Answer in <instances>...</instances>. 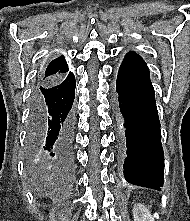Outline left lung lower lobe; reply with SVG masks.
<instances>
[{
    "instance_id": "obj_1",
    "label": "left lung lower lobe",
    "mask_w": 190,
    "mask_h": 221,
    "mask_svg": "<svg viewBox=\"0 0 190 221\" xmlns=\"http://www.w3.org/2000/svg\"><path fill=\"white\" fill-rule=\"evenodd\" d=\"M116 91L125 117V179L133 185L160 190L164 171L160 122L149 70L141 57L125 56Z\"/></svg>"
}]
</instances>
